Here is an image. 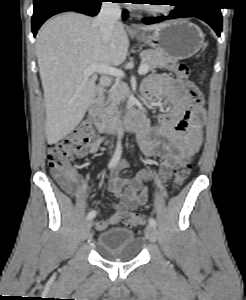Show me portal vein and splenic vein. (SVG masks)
I'll list each match as a JSON object with an SVG mask.
<instances>
[{"instance_id":"1","label":"portal vein and splenic vein","mask_w":246,"mask_h":300,"mask_svg":"<svg viewBox=\"0 0 246 300\" xmlns=\"http://www.w3.org/2000/svg\"><path fill=\"white\" fill-rule=\"evenodd\" d=\"M147 70H148V67L144 64H141L139 69H138V73L139 74H146L147 73ZM100 73V74H105V75H111V76H114V77H123L124 76V72L117 69V68H114V67H111V66H108V65H90L88 66L85 70H84V76L88 77V76H91L93 73Z\"/></svg>"}]
</instances>
